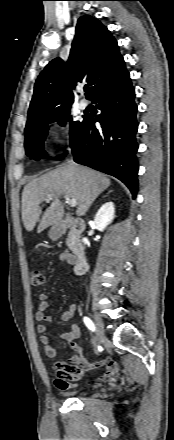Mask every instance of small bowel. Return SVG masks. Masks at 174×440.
<instances>
[{
    "label": "small bowel",
    "mask_w": 174,
    "mask_h": 440,
    "mask_svg": "<svg viewBox=\"0 0 174 440\" xmlns=\"http://www.w3.org/2000/svg\"><path fill=\"white\" fill-rule=\"evenodd\" d=\"M60 261L74 264V258L68 253L60 255ZM48 296L45 293L39 295L37 305L36 319L39 321L37 331L41 335L40 341L44 349V353L49 358H55L56 349L52 346L50 338L47 336L48 324L52 321V316L47 313ZM77 311V306L72 305L67 311L60 315L61 322L69 321ZM61 339L69 343L73 354L66 360L55 362V383L59 388H71L82 378L85 370H97L106 368L105 373L97 378V382L114 381L118 375V364L112 357L98 360L96 362H88L83 357V351L75 340L80 336V328L76 324H72L65 332H60Z\"/></svg>",
    "instance_id": "c3829d8e"
}]
</instances>
